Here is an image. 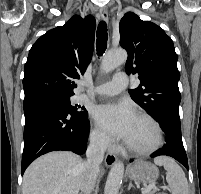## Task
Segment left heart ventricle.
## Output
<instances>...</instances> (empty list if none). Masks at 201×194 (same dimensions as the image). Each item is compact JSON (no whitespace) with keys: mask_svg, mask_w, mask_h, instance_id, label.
Instances as JSON below:
<instances>
[{"mask_svg":"<svg viewBox=\"0 0 201 194\" xmlns=\"http://www.w3.org/2000/svg\"><path fill=\"white\" fill-rule=\"evenodd\" d=\"M156 141V132L146 120L136 117L126 142L137 148H149Z\"/></svg>","mask_w":201,"mask_h":194,"instance_id":"b2bd125f","label":"left heart ventricle"}]
</instances>
